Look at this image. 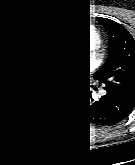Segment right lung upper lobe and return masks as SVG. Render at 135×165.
<instances>
[{"instance_id":"1","label":"right lung upper lobe","mask_w":135,"mask_h":165,"mask_svg":"<svg viewBox=\"0 0 135 165\" xmlns=\"http://www.w3.org/2000/svg\"><path fill=\"white\" fill-rule=\"evenodd\" d=\"M50 25L41 18L22 19L0 26V54L12 52L19 59L39 62L41 46ZM29 80V78H28Z\"/></svg>"}]
</instances>
